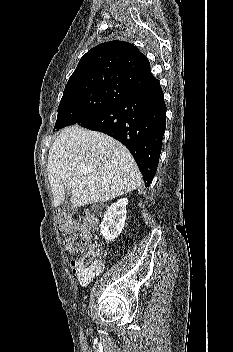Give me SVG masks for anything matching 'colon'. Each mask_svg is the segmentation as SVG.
Wrapping results in <instances>:
<instances>
[{
  "instance_id": "1",
  "label": "colon",
  "mask_w": 233,
  "mask_h": 352,
  "mask_svg": "<svg viewBox=\"0 0 233 352\" xmlns=\"http://www.w3.org/2000/svg\"><path fill=\"white\" fill-rule=\"evenodd\" d=\"M58 226L68 234L65 240L67 251L81 254L80 258L73 261V273L83 281L99 274L102 270V262L99 259L102 247L99 244H92L89 234V230L96 228L97 218L90 213L78 221L62 216Z\"/></svg>"
}]
</instances>
